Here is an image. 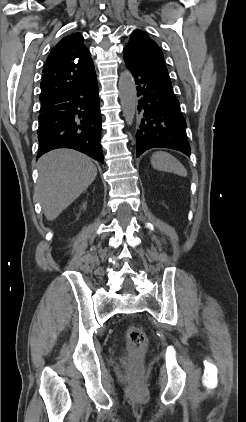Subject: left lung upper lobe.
I'll return each mask as SVG.
<instances>
[{
  "label": "left lung upper lobe",
  "instance_id": "obj_1",
  "mask_svg": "<svg viewBox=\"0 0 246 422\" xmlns=\"http://www.w3.org/2000/svg\"><path fill=\"white\" fill-rule=\"evenodd\" d=\"M124 54L140 62L149 71L171 84L167 68L164 63L163 53L147 34L135 30L124 48Z\"/></svg>",
  "mask_w": 246,
  "mask_h": 422
}]
</instances>
